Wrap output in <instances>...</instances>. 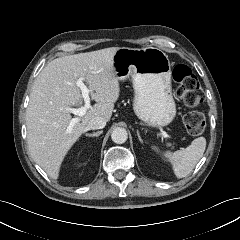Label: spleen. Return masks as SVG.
<instances>
[{
  "label": "spleen",
  "mask_w": 240,
  "mask_h": 240,
  "mask_svg": "<svg viewBox=\"0 0 240 240\" xmlns=\"http://www.w3.org/2000/svg\"><path fill=\"white\" fill-rule=\"evenodd\" d=\"M153 149H157L153 147ZM206 149V139L199 137L194 139L191 144L183 150L165 152L164 156L172 163L174 173L177 178L188 176L199 160L202 158Z\"/></svg>",
  "instance_id": "1"
}]
</instances>
